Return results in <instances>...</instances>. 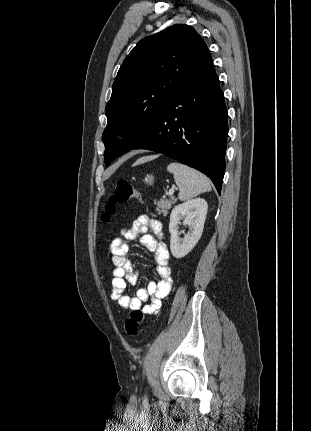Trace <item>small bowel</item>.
I'll use <instances>...</instances> for the list:
<instances>
[{
  "label": "small bowel",
  "instance_id": "small-bowel-1",
  "mask_svg": "<svg viewBox=\"0 0 311 431\" xmlns=\"http://www.w3.org/2000/svg\"><path fill=\"white\" fill-rule=\"evenodd\" d=\"M138 238L141 244L154 254L159 280L157 282L151 281L147 287L140 288L136 295L131 297L125 293L127 283L135 284L138 280V273L134 270L127 254L130 241ZM162 238L161 222L151 219L147 215H141L130 228L122 229L120 237L112 241L110 251L115 267L112 272L111 299L122 308L140 309L144 314L160 311L161 301L167 296L172 285L170 254ZM148 299L151 300L150 303L143 305Z\"/></svg>",
  "mask_w": 311,
  "mask_h": 431
}]
</instances>
